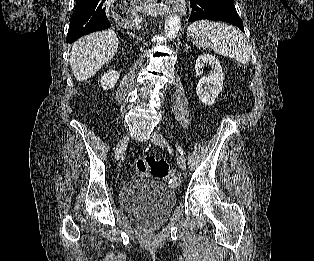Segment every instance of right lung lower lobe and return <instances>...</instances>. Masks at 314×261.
Segmentation results:
<instances>
[{"label": "right lung lower lobe", "mask_w": 314, "mask_h": 261, "mask_svg": "<svg viewBox=\"0 0 314 261\" xmlns=\"http://www.w3.org/2000/svg\"><path fill=\"white\" fill-rule=\"evenodd\" d=\"M106 7V0H76L66 42L72 43L81 36L109 28Z\"/></svg>", "instance_id": "right-lung-lower-lobe-1"}]
</instances>
